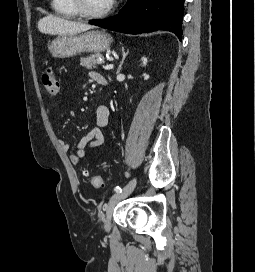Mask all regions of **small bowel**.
<instances>
[{"label": "small bowel", "instance_id": "c3829d8e", "mask_svg": "<svg viewBox=\"0 0 255 272\" xmlns=\"http://www.w3.org/2000/svg\"><path fill=\"white\" fill-rule=\"evenodd\" d=\"M92 81L101 84V82L106 81L105 77L98 72H90L89 74ZM71 117L74 113L71 111L69 113ZM96 117V127L91 129L87 134H85L76 144V151L70 154L69 160L72 164H79L86 156L88 149L96 148L103 145L105 141V136L103 130L108 126L111 111L106 105H99L95 111ZM59 145L64 152H68L70 149L69 144L63 140H59Z\"/></svg>", "mask_w": 255, "mask_h": 272}]
</instances>
